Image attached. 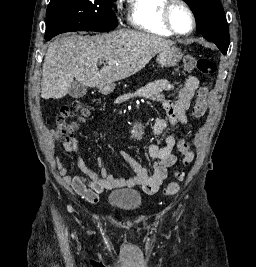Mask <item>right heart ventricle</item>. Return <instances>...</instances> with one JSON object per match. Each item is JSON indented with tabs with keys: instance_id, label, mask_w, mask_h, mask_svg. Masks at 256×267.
<instances>
[{
	"instance_id": "obj_1",
	"label": "right heart ventricle",
	"mask_w": 256,
	"mask_h": 267,
	"mask_svg": "<svg viewBox=\"0 0 256 267\" xmlns=\"http://www.w3.org/2000/svg\"><path fill=\"white\" fill-rule=\"evenodd\" d=\"M167 0H137L133 6L135 28H143L142 36H175L164 24L162 13Z\"/></svg>"
}]
</instances>
